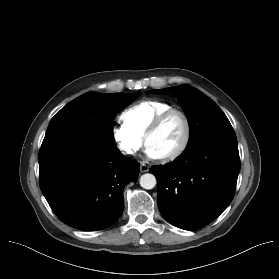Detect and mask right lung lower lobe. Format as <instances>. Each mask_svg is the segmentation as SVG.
<instances>
[{
    "mask_svg": "<svg viewBox=\"0 0 279 279\" xmlns=\"http://www.w3.org/2000/svg\"><path fill=\"white\" fill-rule=\"evenodd\" d=\"M41 191L57 217L85 231L110 227L124 208L123 189L139 163L114 144L80 131L45 137L39 155Z\"/></svg>",
    "mask_w": 279,
    "mask_h": 279,
    "instance_id": "1",
    "label": "right lung lower lobe"
}]
</instances>
